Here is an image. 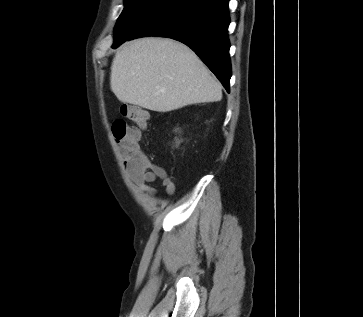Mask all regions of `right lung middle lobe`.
I'll return each instance as SVG.
<instances>
[{"instance_id": "1", "label": "right lung middle lobe", "mask_w": 363, "mask_h": 317, "mask_svg": "<svg viewBox=\"0 0 363 317\" xmlns=\"http://www.w3.org/2000/svg\"><path fill=\"white\" fill-rule=\"evenodd\" d=\"M178 1L179 0H124V10L115 26L114 45L127 40L144 23Z\"/></svg>"}]
</instances>
